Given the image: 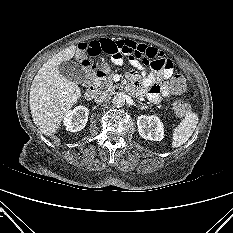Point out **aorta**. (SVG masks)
Returning a JSON list of instances; mask_svg holds the SVG:
<instances>
[{"label":"aorta","instance_id":"aorta-1","mask_svg":"<svg viewBox=\"0 0 233 233\" xmlns=\"http://www.w3.org/2000/svg\"><path fill=\"white\" fill-rule=\"evenodd\" d=\"M112 103L116 107H122L125 104V98L121 94H117L113 97Z\"/></svg>","mask_w":233,"mask_h":233}]
</instances>
